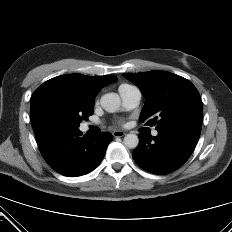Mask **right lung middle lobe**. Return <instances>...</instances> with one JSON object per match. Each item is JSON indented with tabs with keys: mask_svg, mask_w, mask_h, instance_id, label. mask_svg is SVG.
<instances>
[{
	"mask_svg": "<svg viewBox=\"0 0 232 232\" xmlns=\"http://www.w3.org/2000/svg\"><path fill=\"white\" fill-rule=\"evenodd\" d=\"M94 102L74 86L44 87L31 99V119L35 134L54 130H79L82 119L93 114Z\"/></svg>",
	"mask_w": 232,
	"mask_h": 232,
	"instance_id": "right-lung-middle-lobe-1",
	"label": "right lung middle lobe"
}]
</instances>
